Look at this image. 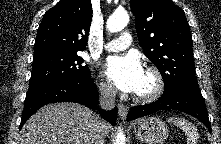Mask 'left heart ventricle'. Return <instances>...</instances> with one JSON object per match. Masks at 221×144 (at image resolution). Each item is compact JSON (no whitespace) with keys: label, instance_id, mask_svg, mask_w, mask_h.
Here are the masks:
<instances>
[{"label":"left heart ventricle","instance_id":"b2bd125f","mask_svg":"<svg viewBox=\"0 0 221 144\" xmlns=\"http://www.w3.org/2000/svg\"><path fill=\"white\" fill-rule=\"evenodd\" d=\"M153 79L151 78V76H149L148 74H146L144 72L143 78H142V82L138 88V90L135 92L136 94H146L149 93L152 88H153Z\"/></svg>","mask_w":221,"mask_h":144}]
</instances>
